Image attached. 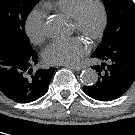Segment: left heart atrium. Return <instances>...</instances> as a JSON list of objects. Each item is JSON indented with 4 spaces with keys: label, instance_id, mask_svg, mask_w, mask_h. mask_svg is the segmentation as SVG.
Segmentation results:
<instances>
[{
    "label": "left heart atrium",
    "instance_id": "left-heart-atrium-1",
    "mask_svg": "<svg viewBox=\"0 0 135 135\" xmlns=\"http://www.w3.org/2000/svg\"><path fill=\"white\" fill-rule=\"evenodd\" d=\"M87 51L86 41L80 37H74L52 42L45 49L43 57L51 65H75Z\"/></svg>",
    "mask_w": 135,
    "mask_h": 135
}]
</instances>
